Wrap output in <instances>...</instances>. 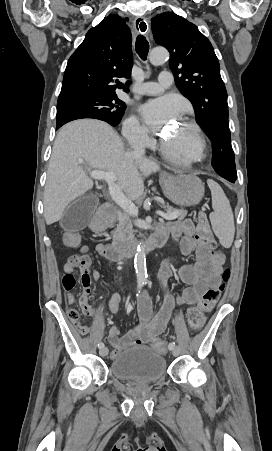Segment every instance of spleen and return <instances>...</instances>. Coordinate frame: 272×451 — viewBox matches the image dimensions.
Returning <instances> with one entry per match:
<instances>
[{"label":"spleen","mask_w":272,"mask_h":451,"mask_svg":"<svg viewBox=\"0 0 272 451\" xmlns=\"http://www.w3.org/2000/svg\"><path fill=\"white\" fill-rule=\"evenodd\" d=\"M207 184L211 190L212 208L214 210L209 216L212 229L223 247H231L235 224L230 202L217 182L207 180Z\"/></svg>","instance_id":"obj_1"}]
</instances>
